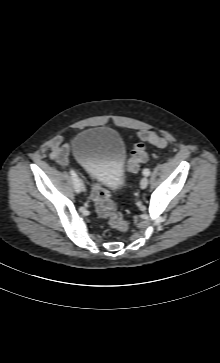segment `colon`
<instances>
[{
    "label": "colon",
    "instance_id": "colon-1",
    "mask_svg": "<svg viewBox=\"0 0 220 363\" xmlns=\"http://www.w3.org/2000/svg\"><path fill=\"white\" fill-rule=\"evenodd\" d=\"M139 139L141 142L136 143L133 146L131 157L128 162V171L135 172L138 170L139 165L145 162L148 158L146 146L144 142L164 147L168 141L166 138L159 136L152 131H142L139 133ZM92 199L95 203L97 214L106 219L109 226L117 231H126L128 229V222L116 210V207L110 199L109 192L97 183L92 185L91 192Z\"/></svg>",
    "mask_w": 220,
    "mask_h": 363
}]
</instances>
